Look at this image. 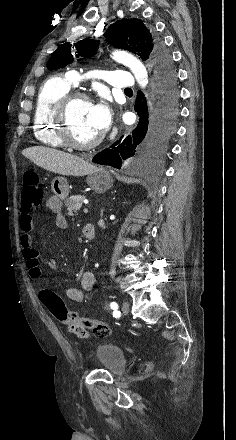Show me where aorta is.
I'll return each mask as SVG.
<instances>
[{
    "label": "aorta",
    "mask_w": 236,
    "mask_h": 440,
    "mask_svg": "<svg viewBox=\"0 0 236 440\" xmlns=\"http://www.w3.org/2000/svg\"><path fill=\"white\" fill-rule=\"evenodd\" d=\"M112 57L114 60H116L119 63L124 64L125 66L129 67L131 72L134 74L138 84L145 88L148 84V74L146 71V68L142 64L140 60H138L133 55L121 51V50H115L112 53Z\"/></svg>",
    "instance_id": "1"
}]
</instances>
